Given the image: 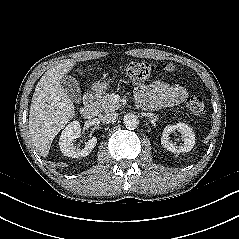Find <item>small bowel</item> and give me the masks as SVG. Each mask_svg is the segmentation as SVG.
Masks as SVG:
<instances>
[{
  "label": "small bowel",
  "instance_id": "small-bowel-1",
  "mask_svg": "<svg viewBox=\"0 0 239 239\" xmlns=\"http://www.w3.org/2000/svg\"><path fill=\"white\" fill-rule=\"evenodd\" d=\"M135 95L141 106L159 109L179 104L185 100L187 91L179 85H170L161 79H154L149 85H139Z\"/></svg>",
  "mask_w": 239,
  "mask_h": 239
}]
</instances>
